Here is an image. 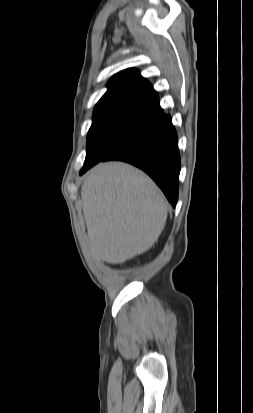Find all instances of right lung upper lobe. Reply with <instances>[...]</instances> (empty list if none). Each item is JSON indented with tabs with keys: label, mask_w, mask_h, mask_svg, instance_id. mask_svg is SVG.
<instances>
[{
	"label": "right lung upper lobe",
	"mask_w": 253,
	"mask_h": 413,
	"mask_svg": "<svg viewBox=\"0 0 253 413\" xmlns=\"http://www.w3.org/2000/svg\"><path fill=\"white\" fill-rule=\"evenodd\" d=\"M108 90L94 107V114L115 110L134 111L147 116L164 118L152 85L133 68L114 75Z\"/></svg>",
	"instance_id": "obj_1"
}]
</instances>
